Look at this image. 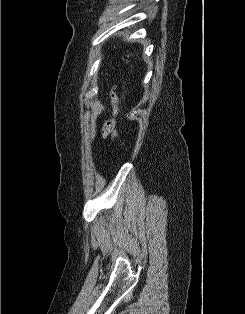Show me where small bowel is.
<instances>
[{
	"instance_id": "c3829d8e",
	"label": "small bowel",
	"mask_w": 245,
	"mask_h": 314,
	"mask_svg": "<svg viewBox=\"0 0 245 314\" xmlns=\"http://www.w3.org/2000/svg\"><path fill=\"white\" fill-rule=\"evenodd\" d=\"M112 100L115 101L116 97L112 94ZM102 134L105 138L114 137L117 134V126L114 119H108L105 121Z\"/></svg>"
}]
</instances>
